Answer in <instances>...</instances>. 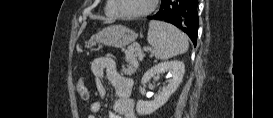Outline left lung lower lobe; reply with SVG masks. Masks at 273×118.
I'll return each mask as SVG.
<instances>
[{"mask_svg":"<svg viewBox=\"0 0 273 118\" xmlns=\"http://www.w3.org/2000/svg\"><path fill=\"white\" fill-rule=\"evenodd\" d=\"M197 0H162L160 10L148 19L169 22L182 29L197 44Z\"/></svg>","mask_w":273,"mask_h":118,"instance_id":"obj_1","label":"left lung lower lobe"}]
</instances>
